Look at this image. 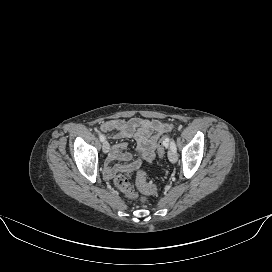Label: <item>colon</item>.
Listing matches in <instances>:
<instances>
[{"label": "colon", "mask_w": 272, "mask_h": 272, "mask_svg": "<svg viewBox=\"0 0 272 272\" xmlns=\"http://www.w3.org/2000/svg\"><path fill=\"white\" fill-rule=\"evenodd\" d=\"M168 138L164 137L157 147V154L159 157H163L167 147ZM135 177L136 185L138 189L144 194L143 196H138L135 192L132 183L130 181L131 177ZM115 186L129 199H139L141 201L147 200V195L155 193L156 187L154 184L147 181L146 174L144 171L140 170L138 166L132 165L125 169L114 178Z\"/></svg>", "instance_id": "colon-1"}]
</instances>
